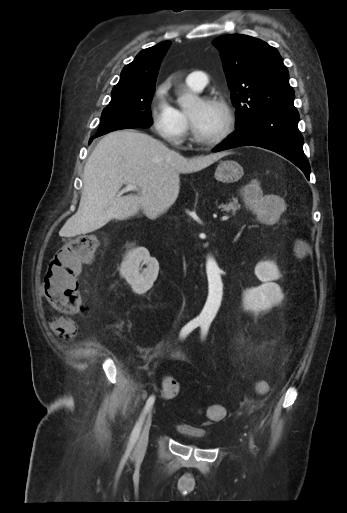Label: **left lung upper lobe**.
Instances as JSON below:
<instances>
[{
  "instance_id": "obj_1",
  "label": "left lung upper lobe",
  "mask_w": 347,
  "mask_h": 513,
  "mask_svg": "<svg viewBox=\"0 0 347 513\" xmlns=\"http://www.w3.org/2000/svg\"><path fill=\"white\" fill-rule=\"evenodd\" d=\"M213 43L236 107V127L266 112L296 110L288 70L274 47L239 34L219 36Z\"/></svg>"
}]
</instances>
